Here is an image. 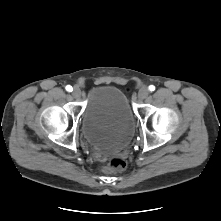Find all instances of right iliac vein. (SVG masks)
Segmentation results:
<instances>
[{"mask_svg":"<svg viewBox=\"0 0 221 221\" xmlns=\"http://www.w3.org/2000/svg\"><path fill=\"white\" fill-rule=\"evenodd\" d=\"M72 95L75 98H79L81 96V90L78 87H74V89L72 91Z\"/></svg>","mask_w":221,"mask_h":221,"instance_id":"obj_1","label":"right iliac vein"}]
</instances>
